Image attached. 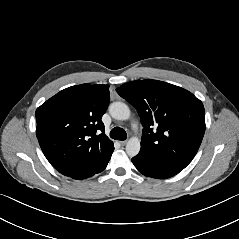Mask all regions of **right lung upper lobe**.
<instances>
[{"label": "right lung upper lobe", "instance_id": "right-lung-upper-lobe-1", "mask_svg": "<svg viewBox=\"0 0 239 239\" xmlns=\"http://www.w3.org/2000/svg\"><path fill=\"white\" fill-rule=\"evenodd\" d=\"M109 85L88 83L66 88L36 110V135L50 164L76 178L99 168L112 154L104 134ZM100 131L102 133H100Z\"/></svg>", "mask_w": 239, "mask_h": 239}]
</instances>
